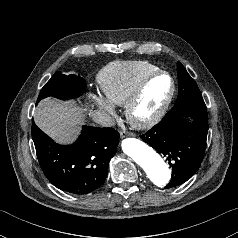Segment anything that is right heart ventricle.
Wrapping results in <instances>:
<instances>
[{
    "mask_svg": "<svg viewBox=\"0 0 238 238\" xmlns=\"http://www.w3.org/2000/svg\"><path fill=\"white\" fill-rule=\"evenodd\" d=\"M159 68L147 61H114L97 75L104 96L114 105H124L139 83Z\"/></svg>",
    "mask_w": 238,
    "mask_h": 238,
    "instance_id": "obj_1",
    "label": "right heart ventricle"
}]
</instances>
